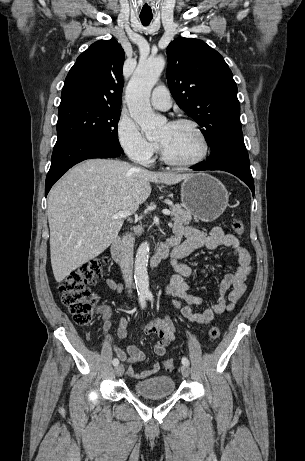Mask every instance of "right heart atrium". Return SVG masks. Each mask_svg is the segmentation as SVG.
Listing matches in <instances>:
<instances>
[{
    "label": "right heart atrium",
    "mask_w": 305,
    "mask_h": 461,
    "mask_svg": "<svg viewBox=\"0 0 305 461\" xmlns=\"http://www.w3.org/2000/svg\"><path fill=\"white\" fill-rule=\"evenodd\" d=\"M116 136L121 148L133 160L144 165L152 162L158 146L144 136L138 125L130 117L122 115L119 118Z\"/></svg>",
    "instance_id": "obj_1"
}]
</instances>
